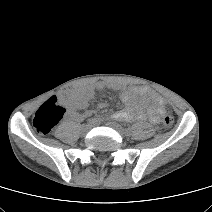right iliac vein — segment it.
<instances>
[{
	"label": "right iliac vein",
	"mask_w": 212,
	"mask_h": 212,
	"mask_svg": "<svg viewBox=\"0 0 212 212\" xmlns=\"http://www.w3.org/2000/svg\"><path fill=\"white\" fill-rule=\"evenodd\" d=\"M92 128L91 124H85L81 128L82 134H86Z\"/></svg>",
	"instance_id": "right-iliac-vein-1"
}]
</instances>
